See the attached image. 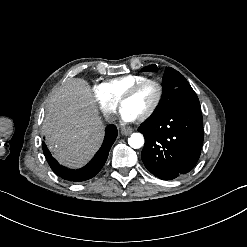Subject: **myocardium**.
<instances>
[{
    "label": "myocardium",
    "mask_w": 247,
    "mask_h": 247,
    "mask_svg": "<svg viewBox=\"0 0 247 247\" xmlns=\"http://www.w3.org/2000/svg\"><path fill=\"white\" fill-rule=\"evenodd\" d=\"M147 84H152L156 87L157 95H156V99H155V102L152 108L150 109L148 113H146L145 115L141 117V121H146V120L151 119L156 114V112L161 106L163 95H164V88L160 81L156 79L146 78L142 80L141 82H139L138 84H136L129 92L123 95V97L119 100V106L121 107L125 101H129L133 99L138 94V92L141 90V88Z\"/></svg>",
    "instance_id": "obj_1"
}]
</instances>
